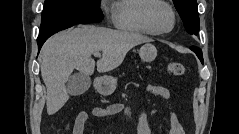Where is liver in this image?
Here are the masks:
<instances>
[{"label": "liver", "instance_id": "liver-1", "mask_svg": "<svg viewBox=\"0 0 239 134\" xmlns=\"http://www.w3.org/2000/svg\"><path fill=\"white\" fill-rule=\"evenodd\" d=\"M151 39L135 32L85 25L60 32L46 41L41 53V75L47 89V113L58 112L69 99L65 86L74 69L90 76L95 61L91 55L102 52L97 71L109 72L123 62L133 47Z\"/></svg>", "mask_w": 239, "mask_h": 134}]
</instances>
